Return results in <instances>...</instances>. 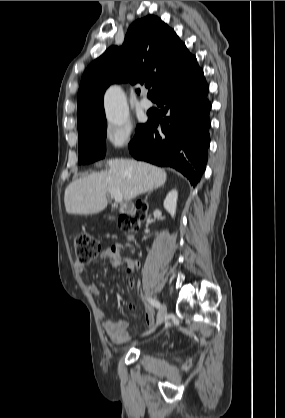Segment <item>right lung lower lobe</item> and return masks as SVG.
Masks as SVG:
<instances>
[{"mask_svg": "<svg viewBox=\"0 0 285 418\" xmlns=\"http://www.w3.org/2000/svg\"><path fill=\"white\" fill-rule=\"evenodd\" d=\"M209 87L199 69L168 89L157 101L162 107V132L158 121L149 118L129 143L137 160L158 166L173 167L184 174L192 185L200 181L206 168L210 145Z\"/></svg>", "mask_w": 285, "mask_h": 418, "instance_id": "right-lung-lower-lobe-1", "label": "right lung lower lobe"}]
</instances>
